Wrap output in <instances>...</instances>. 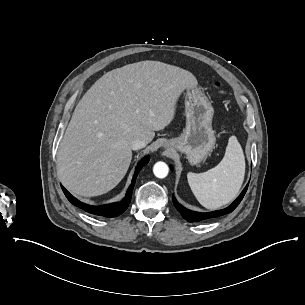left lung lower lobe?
<instances>
[{
	"instance_id": "0a47b994",
	"label": "left lung lower lobe",
	"mask_w": 305,
	"mask_h": 305,
	"mask_svg": "<svg viewBox=\"0 0 305 305\" xmlns=\"http://www.w3.org/2000/svg\"><path fill=\"white\" fill-rule=\"evenodd\" d=\"M247 188H248V185L245 187V189L242 191V193L229 207L224 208L222 210H216V211L206 212V213L195 212V211L186 209L185 207H183L182 205H180L178 203V201L176 200V198L174 196L172 197V199H173V203H174L176 209L180 212V214L182 215V217L185 220H187L188 222L203 221V220L216 218V217L231 213L243 199V197L247 191Z\"/></svg>"
}]
</instances>
